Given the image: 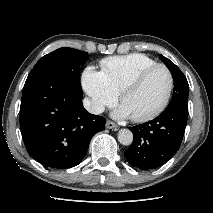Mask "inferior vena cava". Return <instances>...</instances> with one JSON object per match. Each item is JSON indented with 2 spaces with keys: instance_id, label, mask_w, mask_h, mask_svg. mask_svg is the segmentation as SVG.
Wrapping results in <instances>:
<instances>
[{
  "instance_id": "1",
  "label": "inferior vena cava",
  "mask_w": 213,
  "mask_h": 213,
  "mask_svg": "<svg viewBox=\"0 0 213 213\" xmlns=\"http://www.w3.org/2000/svg\"><path fill=\"white\" fill-rule=\"evenodd\" d=\"M83 106L92 114H100L105 110V107L102 104L89 98H84Z\"/></svg>"
}]
</instances>
